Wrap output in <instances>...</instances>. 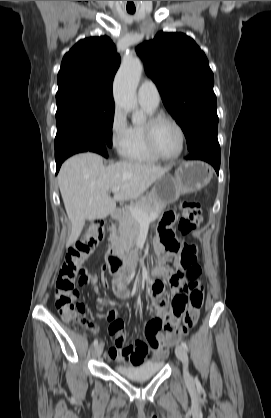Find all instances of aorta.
I'll use <instances>...</instances> for the list:
<instances>
[{
	"label": "aorta",
	"instance_id": "obj_1",
	"mask_svg": "<svg viewBox=\"0 0 271 418\" xmlns=\"http://www.w3.org/2000/svg\"><path fill=\"white\" fill-rule=\"evenodd\" d=\"M143 71V64L137 57L122 62L114 79V100L124 110L137 109L136 88ZM141 119V113L135 112L133 122Z\"/></svg>",
	"mask_w": 271,
	"mask_h": 418
}]
</instances>
